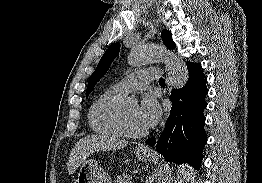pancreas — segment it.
<instances>
[{
    "label": "pancreas",
    "mask_w": 262,
    "mask_h": 183,
    "mask_svg": "<svg viewBox=\"0 0 262 183\" xmlns=\"http://www.w3.org/2000/svg\"><path fill=\"white\" fill-rule=\"evenodd\" d=\"M131 176L130 175H120L117 177L116 181L114 183H132L131 182Z\"/></svg>",
    "instance_id": "1"
}]
</instances>
